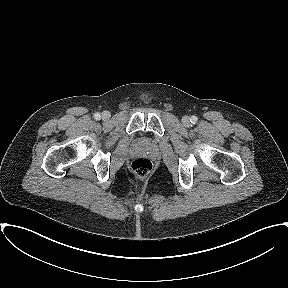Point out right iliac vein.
Returning <instances> with one entry per match:
<instances>
[{"label":"right iliac vein","instance_id":"obj_1","mask_svg":"<svg viewBox=\"0 0 288 288\" xmlns=\"http://www.w3.org/2000/svg\"><path fill=\"white\" fill-rule=\"evenodd\" d=\"M110 118V113L108 111H105L102 113V119L108 120Z\"/></svg>","mask_w":288,"mask_h":288}]
</instances>
